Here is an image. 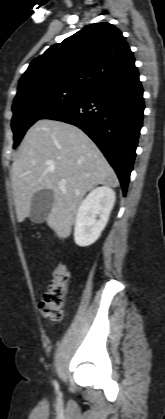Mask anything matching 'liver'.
I'll return each mask as SVG.
<instances>
[{
    "label": "liver",
    "mask_w": 165,
    "mask_h": 419,
    "mask_svg": "<svg viewBox=\"0 0 165 419\" xmlns=\"http://www.w3.org/2000/svg\"><path fill=\"white\" fill-rule=\"evenodd\" d=\"M61 179L66 180L64 186ZM11 180L18 222L30 216L36 192H53L46 222L59 238L71 234L79 204L88 191L99 184H119L102 152L81 129L49 119L38 120L27 131L12 164Z\"/></svg>",
    "instance_id": "obj_1"
}]
</instances>
